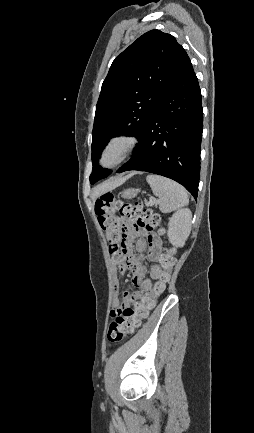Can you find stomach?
I'll return each instance as SVG.
<instances>
[{"label": "stomach", "mask_w": 254, "mask_h": 433, "mask_svg": "<svg viewBox=\"0 0 254 433\" xmlns=\"http://www.w3.org/2000/svg\"><path fill=\"white\" fill-rule=\"evenodd\" d=\"M138 193L137 189L129 188L127 190H124L121 194V196L125 199H131L134 198Z\"/></svg>", "instance_id": "1"}]
</instances>
